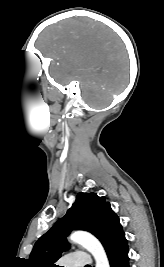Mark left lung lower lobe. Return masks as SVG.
<instances>
[{"mask_svg": "<svg viewBox=\"0 0 164 267\" xmlns=\"http://www.w3.org/2000/svg\"><path fill=\"white\" fill-rule=\"evenodd\" d=\"M110 267H129L128 244L122 226L113 231L103 244Z\"/></svg>", "mask_w": 164, "mask_h": 267, "instance_id": "left-lung-lower-lobe-1", "label": "left lung lower lobe"}]
</instances>
